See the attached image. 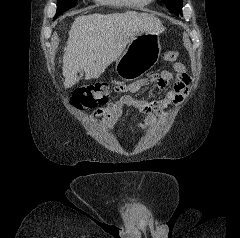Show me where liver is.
Listing matches in <instances>:
<instances>
[{"mask_svg": "<svg viewBox=\"0 0 240 238\" xmlns=\"http://www.w3.org/2000/svg\"><path fill=\"white\" fill-rule=\"evenodd\" d=\"M164 31L162 22L154 15L127 11L116 14H90L75 18L63 55L65 88L79 80L96 79L124 52L127 44L144 32Z\"/></svg>", "mask_w": 240, "mask_h": 238, "instance_id": "1", "label": "liver"}]
</instances>
